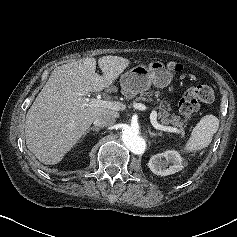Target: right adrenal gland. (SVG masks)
Masks as SVG:
<instances>
[{"label": "right adrenal gland", "mask_w": 237, "mask_h": 237, "mask_svg": "<svg viewBox=\"0 0 237 237\" xmlns=\"http://www.w3.org/2000/svg\"><path fill=\"white\" fill-rule=\"evenodd\" d=\"M90 131H96V132H98V131H100V128H98V127H91V128H89V129L85 132L84 137H85ZM84 137H83V138H84Z\"/></svg>", "instance_id": "2a0ac1e0"}]
</instances>
